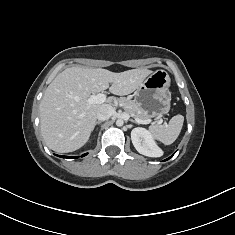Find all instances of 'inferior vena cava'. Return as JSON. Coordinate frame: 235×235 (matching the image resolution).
Listing matches in <instances>:
<instances>
[{
    "mask_svg": "<svg viewBox=\"0 0 235 235\" xmlns=\"http://www.w3.org/2000/svg\"><path fill=\"white\" fill-rule=\"evenodd\" d=\"M114 113V109L112 106L104 105L100 107V109L97 112V119L99 121H105L109 119Z\"/></svg>",
    "mask_w": 235,
    "mask_h": 235,
    "instance_id": "obj_1",
    "label": "inferior vena cava"
}]
</instances>
